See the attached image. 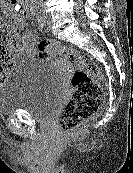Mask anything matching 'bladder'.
<instances>
[{
	"label": "bladder",
	"mask_w": 133,
	"mask_h": 173,
	"mask_svg": "<svg viewBox=\"0 0 133 173\" xmlns=\"http://www.w3.org/2000/svg\"><path fill=\"white\" fill-rule=\"evenodd\" d=\"M64 93L59 70L44 61H17L0 84V113L26 112L39 122L55 114Z\"/></svg>",
	"instance_id": "31cf9c89"
}]
</instances>
